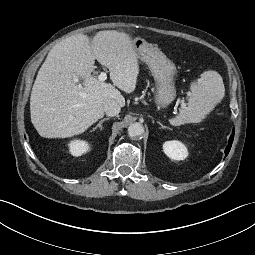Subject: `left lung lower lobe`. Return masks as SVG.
<instances>
[{
	"instance_id": "obj_1",
	"label": "left lung lower lobe",
	"mask_w": 255,
	"mask_h": 255,
	"mask_svg": "<svg viewBox=\"0 0 255 255\" xmlns=\"http://www.w3.org/2000/svg\"><path fill=\"white\" fill-rule=\"evenodd\" d=\"M233 138H234V130L232 132V135L230 136V139H229V144L228 146L226 147L225 149V154L227 155L230 151V148H231V145H232V142H233Z\"/></svg>"
}]
</instances>
